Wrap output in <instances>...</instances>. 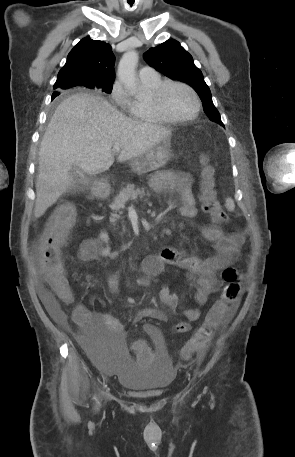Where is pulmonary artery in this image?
Returning <instances> with one entry per match:
<instances>
[{
  "label": "pulmonary artery",
  "mask_w": 295,
  "mask_h": 457,
  "mask_svg": "<svg viewBox=\"0 0 295 457\" xmlns=\"http://www.w3.org/2000/svg\"><path fill=\"white\" fill-rule=\"evenodd\" d=\"M138 74L141 80L152 79L158 75L157 72L149 66L142 67Z\"/></svg>",
  "instance_id": "e3ab8cb5"
}]
</instances>
